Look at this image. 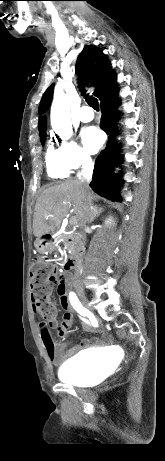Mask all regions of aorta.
Instances as JSON below:
<instances>
[{
  "instance_id": "aorta-1",
  "label": "aorta",
  "mask_w": 165,
  "mask_h": 461,
  "mask_svg": "<svg viewBox=\"0 0 165 461\" xmlns=\"http://www.w3.org/2000/svg\"><path fill=\"white\" fill-rule=\"evenodd\" d=\"M52 129L62 138L68 139L72 135V123L68 98L63 92H55L51 106Z\"/></svg>"
}]
</instances>
